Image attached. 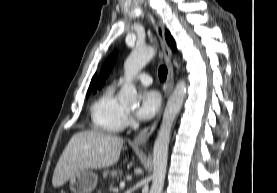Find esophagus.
<instances>
[{
    "mask_svg": "<svg viewBox=\"0 0 277 193\" xmlns=\"http://www.w3.org/2000/svg\"><path fill=\"white\" fill-rule=\"evenodd\" d=\"M156 32L157 35L159 37V40L161 42V46H162V53L167 65V69H168V77H167V81L164 87V96H163V103L162 106L159 110V113L155 119V121L145 127L133 140V144L137 145V146H143L146 144L147 140L149 139V137L151 136V134L154 132V130L156 129L161 116H162V112L164 109V105L166 100L168 99V97L170 96L172 90H173V86H174V78H173V65H172V51L170 49V47L168 46L166 39H165V29L164 26L161 22V20H157L156 23Z\"/></svg>",
    "mask_w": 277,
    "mask_h": 193,
    "instance_id": "esophagus-1",
    "label": "esophagus"
}]
</instances>
